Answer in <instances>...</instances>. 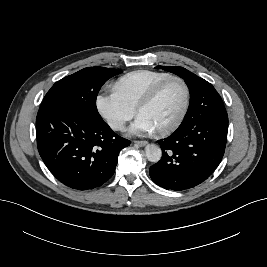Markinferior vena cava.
Instances as JSON below:
<instances>
[{"mask_svg": "<svg viewBox=\"0 0 267 267\" xmlns=\"http://www.w3.org/2000/svg\"><path fill=\"white\" fill-rule=\"evenodd\" d=\"M118 124L121 126L123 123L122 122H119Z\"/></svg>", "mask_w": 267, "mask_h": 267, "instance_id": "inferior-vena-cava-1", "label": "inferior vena cava"}]
</instances>
